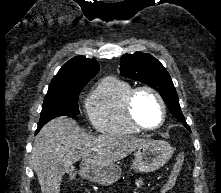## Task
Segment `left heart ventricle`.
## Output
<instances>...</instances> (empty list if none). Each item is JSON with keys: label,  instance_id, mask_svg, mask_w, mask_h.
<instances>
[{"label": "left heart ventricle", "instance_id": "obj_1", "mask_svg": "<svg viewBox=\"0 0 221 193\" xmlns=\"http://www.w3.org/2000/svg\"><path fill=\"white\" fill-rule=\"evenodd\" d=\"M134 116L147 127L156 126L161 120L159 102L148 92L139 93L134 102Z\"/></svg>", "mask_w": 221, "mask_h": 193}]
</instances>
